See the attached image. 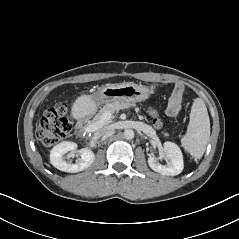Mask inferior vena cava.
<instances>
[{
    "mask_svg": "<svg viewBox=\"0 0 239 239\" xmlns=\"http://www.w3.org/2000/svg\"><path fill=\"white\" fill-rule=\"evenodd\" d=\"M113 131V128L111 126H106L100 129L94 136L95 139H98L104 135H107Z\"/></svg>",
    "mask_w": 239,
    "mask_h": 239,
    "instance_id": "inferior-vena-cava-1",
    "label": "inferior vena cava"
}]
</instances>
